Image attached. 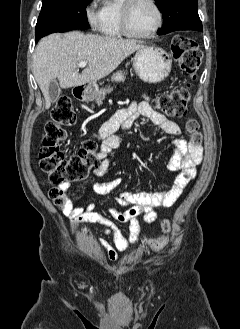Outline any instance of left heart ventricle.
<instances>
[{
  "label": "left heart ventricle",
  "mask_w": 240,
  "mask_h": 329,
  "mask_svg": "<svg viewBox=\"0 0 240 329\" xmlns=\"http://www.w3.org/2000/svg\"><path fill=\"white\" fill-rule=\"evenodd\" d=\"M157 23V13L148 0H138L132 8L130 27L134 32L146 33Z\"/></svg>",
  "instance_id": "obj_1"
}]
</instances>
